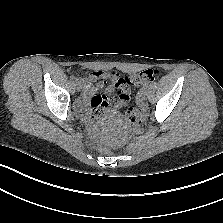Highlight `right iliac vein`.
<instances>
[{
    "mask_svg": "<svg viewBox=\"0 0 223 223\" xmlns=\"http://www.w3.org/2000/svg\"><path fill=\"white\" fill-rule=\"evenodd\" d=\"M77 88H78V89H80V88H81L80 83H78Z\"/></svg>",
    "mask_w": 223,
    "mask_h": 223,
    "instance_id": "63e3f726",
    "label": "right iliac vein"
}]
</instances>
